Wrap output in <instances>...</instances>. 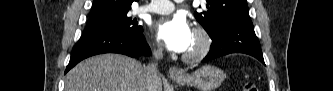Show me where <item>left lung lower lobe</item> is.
<instances>
[{"instance_id":"0a47b994","label":"left lung lower lobe","mask_w":333,"mask_h":91,"mask_svg":"<svg viewBox=\"0 0 333 91\" xmlns=\"http://www.w3.org/2000/svg\"><path fill=\"white\" fill-rule=\"evenodd\" d=\"M211 39L212 45L210 51L202 62H207L230 53H245L265 64L251 19L228 23Z\"/></svg>"}]
</instances>
